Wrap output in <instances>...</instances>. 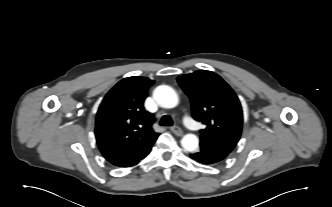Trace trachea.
Wrapping results in <instances>:
<instances>
[{
    "label": "trachea",
    "mask_w": 332,
    "mask_h": 207,
    "mask_svg": "<svg viewBox=\"0 0 332 207\" xmlns=\"http://www.w3.org/2000/svg\"><path fill=\"white\" fill-rule=\"evenodd\" d=\"M161 126H172L173 121L172 118L169 115H164L160 120Z\"/></svg>",
    "instance_id": "1"
}]
</instances>
